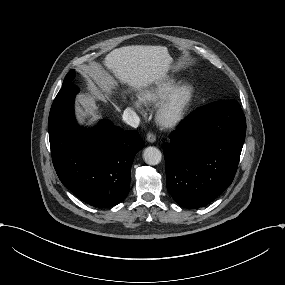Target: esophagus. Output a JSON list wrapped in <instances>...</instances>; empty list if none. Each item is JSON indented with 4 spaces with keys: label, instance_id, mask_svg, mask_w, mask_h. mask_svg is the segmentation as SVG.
Returning <instances> with one entry per match:
<instances>
[{
    "label": "esophagus",
    "instance_id": "esophagus-1",
    "mask_svg": "<svg viewBox=\"0 0 285 285\" xmlns=\"http://www.w3.org/2000/svg\"><path fill=\"white\" fill-rule=\"evenodd\" d=\"M146 139L149 143H154L156 141V137L153 133H148Z\"/></svg>",
    "mask_w": 285,
    "mask_h": 285
}]
</instances>
